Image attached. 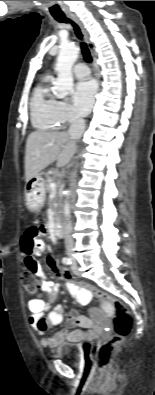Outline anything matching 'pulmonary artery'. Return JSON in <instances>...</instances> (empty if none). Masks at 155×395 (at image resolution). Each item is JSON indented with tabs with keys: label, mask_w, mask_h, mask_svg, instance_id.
Instances as JSON below:
<instances>
[{
	"label": "pulmonary artery",
	"mask_w": 155,
	"mask_h": 395,
	"mask_svg": "<svg viewBox=\"0 0 155 395\" xmlns=\"http://www.w3.org/2000/svg\"><path fill=\"white\" fill-rule=\"evenodd\" d=\"M73 73L78 78H87L90 74V70L84 63H78L73 68Z\"/></svg>",
	"instance_id": "1"
}]
</instances>
